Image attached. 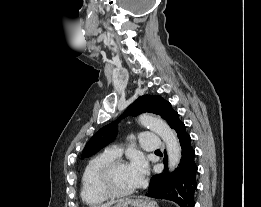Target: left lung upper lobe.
I'll return each instance as SVG.
<instances>
[{
  "label": "left lung upper lobe",
  "mask_w": 261,
  "mask_h": 207,
  "mask_svg": "<svg viewBox=\"0 0 261 207\" xmlns=\"http://www.w3.org/2000/svg\"><path fill=\"white\" fill-rule=\"evenodd\" d=\"M150 112L160 115L167 121L172 129L175 128L180 121L179 115L171 107V104L159 95H143L140 96L133 104H131L121 118L126 115L136 116L140 113ZM118 121L102 127L86 144L82 158L90 157L101 148L112 142L116 137V124Z\"/></svg>",
  "instance_id": "left-lung-upper-lobe-1"
}]
</instances>
